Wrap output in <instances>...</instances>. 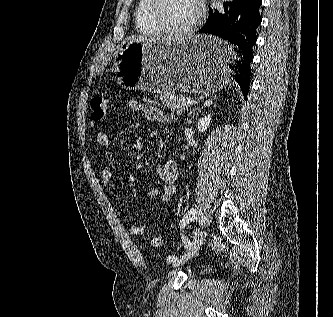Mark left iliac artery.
Listing matches in <instances>:
<instances>
[{
    "instance_id": "obj_1",
    "label": "left iliac artery",
    "mask_w": 333,
    "mask_h": 317,
    "mask_svg": "<svg viewBox=\"0 0 333 317\" xmlns=\"http://www.w3.org/2000/svg\"><path fill=\"white\" fill-rule=\"evenodd\" d=\"M196 215H197V210L194 208L190 209L181 220V228H184L190 221L194 220L196 218ZM182 241L184 243L185 248L189 250L191 247V242L184 235H182ZM176 260H178V258L174 255L167 257V261L169 263L175 262Z\"/></svg>"
}]
</instances>
